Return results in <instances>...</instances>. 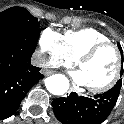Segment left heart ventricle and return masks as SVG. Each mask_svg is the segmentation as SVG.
Wrapping results in <instances>:
<instances>
[{
    "instance_id": "b2bd125f",
    "label": "left heart ventricle",
    "mask_w": 124,
    "mask_h": 124,
    "mask_svg": "<svg viewBox=\"0 0 124 124\" xmlns=\"http://www.w3.org/2000/svg\"><path fill=\"white\" fill-rule=\"evenodd\" d=\"M116 65L114 49L106 48L84 63L79 71L83 74L86 86L96 87L107 83L112 78Z\"/></svg>"
}]
</instances>
